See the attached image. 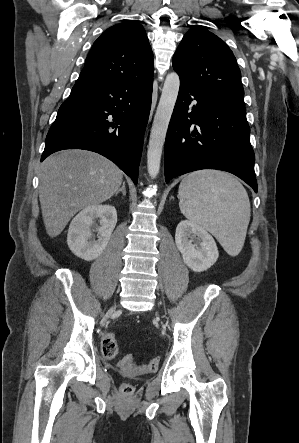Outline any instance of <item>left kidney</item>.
I'll list each match as a JSON object with an SVG mask.
<instances>
[{
    "instance_id": "5707ae66",
    "label": "left kidney",
    "mask_w": 299,
    "mask_h": 443,
    "mask_svg": "<svg viewBox=\"0 0 299 443\" xmlns=\"http://www.w3.org/2000/svg\"><path fill=\"white\" fill-rule=\"evenodd\" d=\"M175 242L184 263L195 272L207 270L218 259L219 253L213 237L191 221L185 220L178 224Z\"/></svg>"
}]
</instances>
